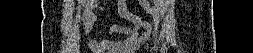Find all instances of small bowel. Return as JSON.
I'll return each mask as SVG.
<instances>
[{"mask_svg": "<svg viewBox=\"0 0 253 53\" xmlns=\"http://www.w3.org/2000/svg\"><path fill=\"white\" fill-rule=\"evenodd\" d=\"M120 13L125 19L132 23V27L123 28L119 25H112L108 28V30L110 33H125L127 35V38L123 42L122 46L125 48L126 52L134 53L143 43L149 39L150 34L153 31V26L147 22L142 21L139 17L129 13L123 6L120 7ZM94 19L95 17H92V19L83 26L82 31L84 34H87L92 30ZM141 28L145 29L146 32L142 35H139L138 30ZM87 44L89 48L94 52H102L106 49L117 46L110 40H103L100 42L90 40L87 42Z\"/></svg>", "mask_w": 253, "mask_h": 53, "instance_id": "obj_1", "label": "small bowel"}]
</instances>
